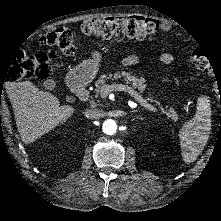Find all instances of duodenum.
<instances>
[{
    "mask_svg": "<svg viewBox=\"0 0 221 221\" xmlns=\"http://www.w3.org/2000/svg\"><path fill=\"white\" fill-rule=\"evenodd\" d=\"M70 86L72 94L70 96L71 102H78L84 100L88 95V75L84 70H78L70 76Z\"/></svg>",
    "mask_w": 221,
    "mask_h": 221,
    "instance_id": "obj_1",
    "label": "duodenum"
}]
</instances>
